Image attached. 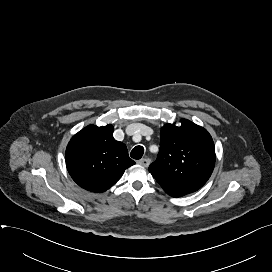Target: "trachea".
Segmentation results:
<instances>
[{
    "label": "trachea",
    "mask_w": 272,
    "mask_h": 272,
    "mask_svg": "<svg viewBox=\"0 0 272 272\" xmlns=\"http://www.w3.org/2000/svg\"><path fill=\"white\" fill-rule=\"evenodd\" d=\"M144 154V148L142 146H136L132 149L131 153H130V156L133 158V159H141L142 156Z\"/></svg>",
    "instance_id": "3493384b"
}]
</instances>
